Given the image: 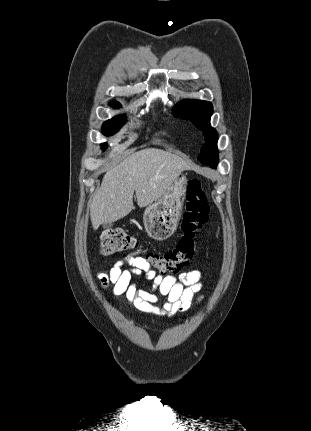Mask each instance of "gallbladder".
I'll list each match as a JSON object with an SVG mask.
<instances>
[{
	"instance_id": "bac80fb5",
	"label": "gallbladder",
	"mask_w": 311,
	"mask_h": 431,
	"mask_svg": "<svg viewBox=\"0 0 311 431\" xmlns=\"http://www.w3.org/2000/svg\"><path fill=\"white\" fill-rule=\"evenodd\" d=\"M113 223H103L104 229H110L112 227Z\"/></svg>"
}]
</instances>
